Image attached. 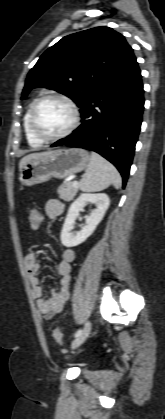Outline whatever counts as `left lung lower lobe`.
Here are the masks:
<instances>
[{"label": "left lung lower lobe", "mask_w": 165, "mask_h": 419, "mask_svg": "<svg viewBox=\"0 0 165 419\" xmlns=\"http://www.w3.org/2000/svg\"><path fill=\"white\" fill-rule=\"evenodd\" d=\"M143 92L133 55L81 108L82 124L51 146L79 147L101 154L116 166L125 186L142 122Z\"/></svg>", "instance_id": "0a47b994"}]
</instances>
